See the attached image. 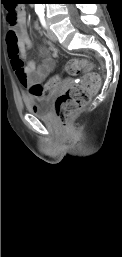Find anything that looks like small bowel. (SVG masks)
<instances>
[{
	"instance_id": "1",
	"label": "small bowel",
	"mask_w": 122,
	"mask_h": 257,
	"mask_svg": "<svg viewBox=\"0 0 122 257\" xmlns=\"http://www.w3.org/2000/svg\"><path fill=\"white\" fill-rule=\"evenodd\" d=\"M36 28H38L37 25ZM6 45L9 54L7 55V60H11L13 73H16L19 82L23 86L29 88V83L47 82L45 79L54 70L55 63L49 57H46L40 65H37L34 61L27 63L26 51L31 47L32 43L28 36L23 9L20 10L17 20L14 23H10L6 34ZM50 49L55 50L53 46Z\"/></svg>"
}]
</instances>
